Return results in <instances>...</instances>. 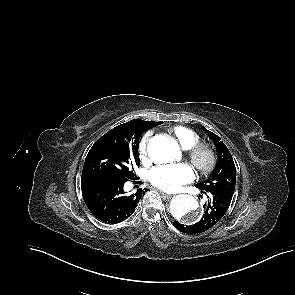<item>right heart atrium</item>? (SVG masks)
I'll use <instances>...</instances> for the list:
<instances>
[{"label": "right heart atrium", "mask_w": 295, "mask_h": 295, "mask_svg": "<svg viewBox=\"0 0 295 295\" xmlns=\"http://www.w3.org/2000/svg\"><path fill=\"white\" fill-rule=\"evenodd\" d=\"M149 141H150V137L149 135H146L142 138L138 146L139 157L143 162H146V163L150 161V155L148 150Z\"/></svg>", "instance_id": "obj_1"}]
</instances>
